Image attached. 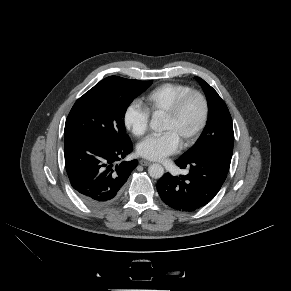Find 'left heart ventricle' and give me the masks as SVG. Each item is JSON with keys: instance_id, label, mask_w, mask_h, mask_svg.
Instances as JSON below:
<instances>
[{"instance_id": "obj_1", "label": "left heart ventricle", "mask_w": 291, "mask_h": 291, "mask_svg": "<svg viewBox=\"0 0 291 291\" xmlns=\"http://www.w3.org/2000/svg\"><path fill=\"white\" fill-rule=\"evenodd\" d=\"M202 113L198 98L191 99L176 118L164 117L163 130L173 131L180 142L184 141L197 127Z\"/></svg>"}]
</instances>
